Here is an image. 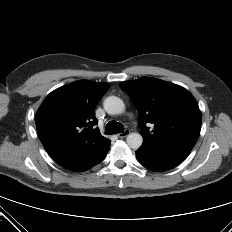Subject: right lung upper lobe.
I'll return each mask as SVG.
<instances>
[{"label": "right lung upper lobe", "mask_w": 232, "mask_h": 232, "mask_svg": "<svg viewBox=\"0 0 232 232\" xmlns=\"http://www.w3.org/2000/svg\"><path fill=\"white\" fill-rule=\"evenodd\" d=\"M109 85L75 81L52 91L36 114L39 138L60 165L87 160L108 152L110 140L94 125V108Z\"/></svg>", "instance_id": "1"}]
</instances>
